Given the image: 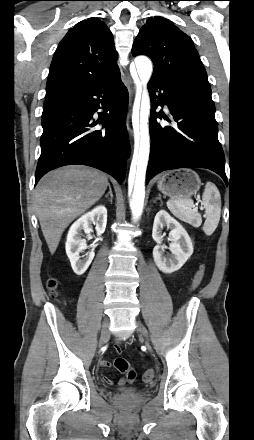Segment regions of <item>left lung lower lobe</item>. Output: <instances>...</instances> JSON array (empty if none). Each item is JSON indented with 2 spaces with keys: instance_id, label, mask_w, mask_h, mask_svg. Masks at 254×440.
Instances as JSON below:
<instances>
[{
  "instance_id": "obj_1",
  "label": "left lung lower lobe",
  "mask_w": 254,
  "mask_h": 440,
  "mask_svg": "<svg viewBox=\"0 0 254 440\" xmlns=\"http://www.w3.org/2000/svg\"><path fill=\"white\" fill-rule=\"evenodd\" d=\"M148 89L151 148L146 182L165 170L197 167L216 172L227 183L214 104L191 94H178L156 76L150 79ZM159 105L168 106L169 116L155 112ZM156 118H164L172 125H160Z\"/></svg>"
}]
</instances>
